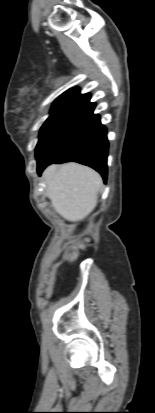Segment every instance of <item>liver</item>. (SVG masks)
I'll return each mask as SVG.
<instances>
[{
    "label": "liver",
    "mask_w": 155,
    "mask_h": 413,
    "mask_svg": "<svg viewBox=\"0 0 155 413\" xmlns=\"http://www.w3.org/2000/svg\"><path fill=\"white\" fill-rule=\"evenodd\" d=\"M43 178L52 207L64 219L83 220L96 207L102 178L95 170L74 162L53 164L45 169Z\"/></svg>",
    "instance_id": "obj_1"
}]
</instances>
